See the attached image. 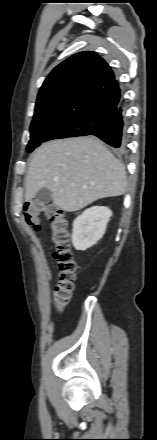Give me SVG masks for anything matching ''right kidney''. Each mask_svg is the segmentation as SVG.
I'll return each instance as SVG.
<instances>
[{"mask_svg":"<svg viewBox=\"0 0 157 440\" xmlns=\"http://www.w3.org/2000/svg\"><path fill=\"white\" fill-rule=\"evenodd\" d=\"M112 216L108 207L86 209L73 222L72 243L76 250L84 251L95 245L104 235Z\"/></svg>","mask_w":157,"mask_h":440,"instance_id":"1","label":"right kidney"}]
</instances>
